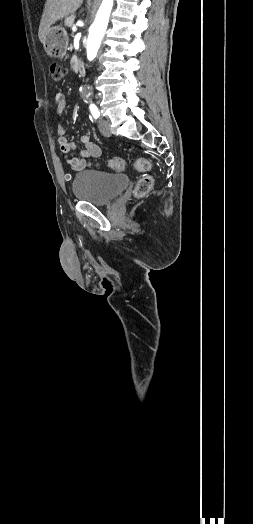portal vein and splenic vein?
<instances>
[{
  "mask_svg": "<svg viewBox=\"0 0 253 524\" xmlns=\"http://www.w3.org/2000/svg\"><path fill=\"white\" fill-rule=\"evenodd\" d=\"M72 30H73V31H76V30H77V27H76V26H73V27H72Z\"/></svg>",
  "mask_w": 253,
  "mask_h": 524,
  "instance_id": "obj_1",
  "label": "portal vein and splenic vein"
}]
</instances>
